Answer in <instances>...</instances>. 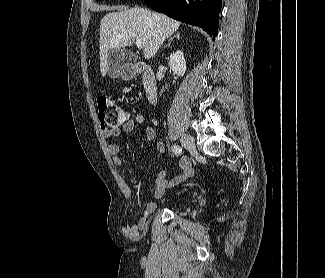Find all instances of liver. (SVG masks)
Masks as SVG:
<instances>
[{
  "label": "liver",
  "instance_id": "obj_1",
  "mask_svg": "<svg viewBox=\"0 0 325 278\" xmlns=\"http://www.w3.org/2000/svg\"><path fill=\"white\" fill-rule=\"evenodd\" d=\"M117 9L110 12L100 24V71L102 76L108 72L107 56L113 49L131 46L137 39L144 40L143 53L145 59H151L163 42L180 26V22L167 15L135 7Z\"/></svg>",
  "mask_w": 325,
  "mask_h": 278
}]
</instances>
